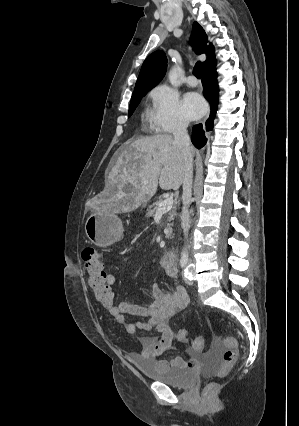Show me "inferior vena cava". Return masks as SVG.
Returning a JSON list of instances; mask_svg holds the SVG:
<instances>
[{"mask_svg":"<svg viewBox=\"0 0 299 426\" xmlns=\"http://www.w3.org/2000/svg\"><path fill=\"white\" fill-rule=\"evenodd\" d=\"M189 122L186 119H182L177 124L174 135V141L182 148L183 161H184V178L182 182L183 194H182V212H181V227L183 229L184 236H188V230L190 228V214L189 206L191 203L192 196V181H193V167L191 159V143L187 133V127Z\"/></svg>","mask_w":299,"mask_h":426,"instance_id":"1","label":"inferior vena cava"}]
</instances>
